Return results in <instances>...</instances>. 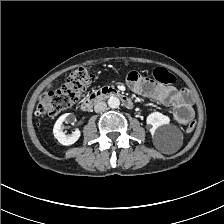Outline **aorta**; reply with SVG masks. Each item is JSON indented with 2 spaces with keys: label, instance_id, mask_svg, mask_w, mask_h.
Here are the masks:
<instances>
[{
  "label": "aorta",
  "instance_id": "1",
  "mask_svg": "<svg viewBox=\"0 0 224 224\" xmlns=\"http://www.w3.org/2000/svg\"><path fill=\"white\" fill-rule=\"evenodd\" d=\"M120 105V100L115 97V96H112L108 99V106L110 108H118Z\"/></svg>",
  "mask_w": 224,
  "mask_h": 224
}]
</instances>
